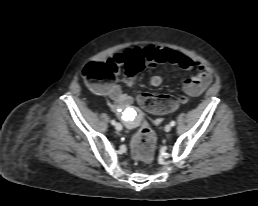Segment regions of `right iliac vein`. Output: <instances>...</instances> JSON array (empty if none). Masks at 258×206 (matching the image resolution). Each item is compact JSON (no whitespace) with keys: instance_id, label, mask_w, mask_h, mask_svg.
Returning <instances> with one entry per match:
<instances>
[{"instance_id":"right-iliac-vein-1","label":"right iliac vein","mask_w":258,"mask_h":206,"mask_svg":"<svg viewBox=\"0 0 258 206\" xmlns=\"http://www.w3.org/2000/svg\"><path fill=\"white\" fill-rule=\"evenodd\" d=\"M115 129L117 131H121L122 130V125L120 123L115 124Z\"/></svg>"}]
</instances>
